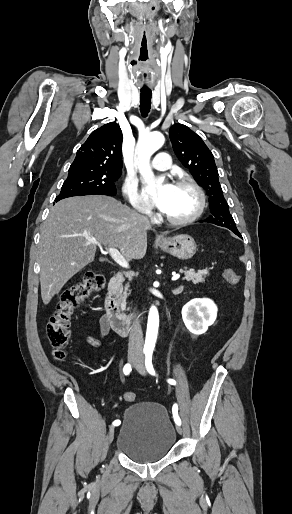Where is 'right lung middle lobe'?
<instances>
[{
	"label": "right lung middle lobe",
	"mask_w": 292,
	"mask_h": 514,
	"mask_svg": "<svg viewBox=\"0 0 292 514\" xmlns=\"http://www.w3.org/2000/svg\"><path fill=\"white\" fill-rule=\"evenodd\" d=\"M121 174L69 173L55 201L82 195H116L115 182Z\"/></svg>",
	"instance_id": "dd1d6c3e"
}]
</instances>
